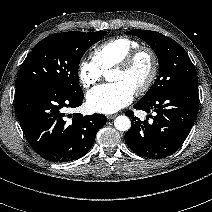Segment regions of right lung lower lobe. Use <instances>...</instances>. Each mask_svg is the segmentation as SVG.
<instances>
[{
    "label": "right lung lower lobe",
    "instance_id": "1",
    "mask_svg": "<svg viewBox=\"0 0 212 212\" xmlns=\"http://www.w3.org/2000/svg\"><path fill=\"white\" fill-rule=\"evenodd\" d=\"M84 95H70L49 85L16 88L15 113L33 150L46 160L68 162L91 149L96 134L107 122L102 114L63 113L82 104Z\"/></svg>",
    "mask_w": 212,
    "mask_h": 212
}]
</instances>
